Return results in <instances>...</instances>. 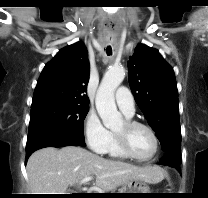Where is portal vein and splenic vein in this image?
I'll list each match as a JSON object with an SVG mask.
<instances>
[{
	"instance_id": "portal-vein-and-splenic-vein-1",
	"label": "portal vein and splenic vein",
	"mask_w": 208,
	"mask_h": 198,
	"mask_svg": "<svg viewBox=\"0 0 208 198\" xmlns=\"http://www.w3.org/2000/svg\"><path fill=\"white\" fill-rule=\"evenodd\" d=\"M93 178L92 177H86V178H83L80 183L83 184V183H86V182H89L91 181Z\"/></svg>"
}]
</instances>
